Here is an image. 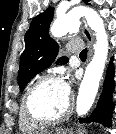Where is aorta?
I'll return each instance as SVG.
<instances>
[{"instance_id":"obj_1","label":"aorta","mask_w":116,"mask_h":134,"mask_svg":"<svg viewBox=\"0 0 116 134\" xmlns=\"http://www.w3.org/2000/svg\"><path fill=\"white\" fill-rule=\"evenodd\" d=\"M80 17L86 18L88 26L96 35L94 55L86 68L77 96L76 112L79 116H83L90 110L95 100L107 60L109 44L104 22L93 9L78 7L57 18L51 28V33L57 38L67 34L74 30Z\"/></svg>"}]
</instances>
